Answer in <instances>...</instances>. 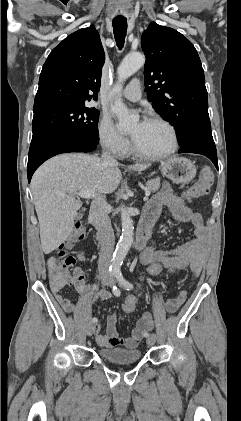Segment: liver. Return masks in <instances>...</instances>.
I'll return each instance as SVG.
<instances>
[{
  "label": "liver",
  "instance_id": "6515ba94",
  "mask_svg": "<svg viewBox=\"0 0 241 421\" xmlns=\"http://www.w3.org/2000/svg\"><path fill=\"white\" fill-rule=\"evenodd\" d=\"M148 167V164H136L128 169L143 171ZM120 181L118 164L107 165L101 158L89 154H61L42 164L32 177L31 191L43 252L54 251L71 234L75 216L82 206L74 197L78 192L92 191L96 199L115 191Z\"/></svg>",
  "mask_w": 241,
  "mask_h": 421
}]
</instances>
